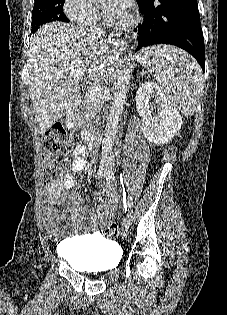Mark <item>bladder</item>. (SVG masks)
Returning a JSON list of instances; mask_svg holds the SVG:
<instances>
[{"label":"bladder","mask_w":227,"mask_h":315,"mask_svg":"<svg viewBox=\"0 0 227 315\" xmlns=\"http://www.w3.org/2000/svg\"><path fill=\"white\" fill-rule=\"evenodd\" d=\"M60 253L71 267L87 271L115 268L121 259L119 245L97 235L70 238Z\"/></svg>","instance_id":"1"}]
</instances>
